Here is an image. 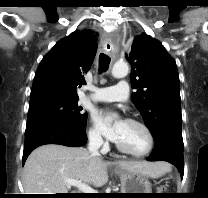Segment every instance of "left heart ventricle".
I'll return each instance as SVG.
<instances>
[{
  "label": "left heart ventricle",
  "instance_id": "obj_1",
  "mask_svg": "<svg viewBox=\"0 0 208 198\" xmlns=\"http://www.w3.org/2000/svg\"><path fill=\"white\" fill-rule=\"evenodd\" d=\"M116 142L134 152H142L148 146V139L144 131L128 122H124Z\"/></svg>",
  "mask_w": 208,
  "mask_h": 198
}]
</instances>
